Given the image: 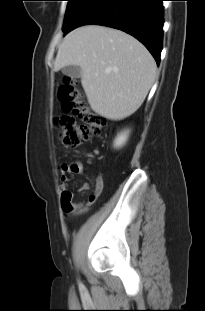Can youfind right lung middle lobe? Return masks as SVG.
<instances>
[{
    "label": "right lung middle lobe",
    "instance_id": "right-lung-middle-lobe-1",
    "mask_svg": "<svg viewBox=\"0 0 205 311\" xmlns=\"http://www.w3.org/2000/svg\"><path fill=\"white\" fill-rule=\"evenodd\" d=\"M67 1L68 4L63 26L64 33H67V31L71 28L76 19L84 11L86 5L90 0H67Z\"/></svg>",
    "mask_w": 205,
    "mask_h": 311
}]
</instances>
